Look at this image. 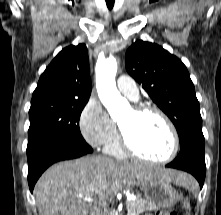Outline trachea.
Segmentation results:
<instances>
[{
	"label": "trachea",
	"instance_id": "3493384b",
	"mask_svg": "<svg viewBox=\"0 0 221 215\" xmlns=\"http://www.w3.org/2000/svg\"><path fill=\"white\" fill-rule=\"evenodd\" d=\"M106 4L109 10H111L114 6V0H106Z\"/></svg>",
	"mask_w": 221,
	"mask_h": 215
}]
</instances>
